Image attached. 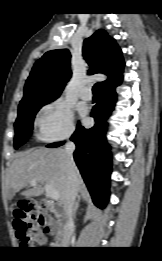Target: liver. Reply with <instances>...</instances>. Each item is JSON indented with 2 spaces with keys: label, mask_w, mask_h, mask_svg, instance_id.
I'll list each match as a JSON object with an SVG mask.
<instances>
[{
  "label": "liver",
  "mask_w": 162,
  "mask_h": 261,
  "mask_svg": "<svg viewBox=\"0 0 162 261\" xmlns=\"http://www.w3.org/2000/svg\"><path fill=\"white\" fill-rule=\"evenodd\" d=\"M66 153L64 149L34 148L20 153L12 162L6 180L7 199L27 187L30 180L36 179V186L23 192L27 197L44 193V184H49L59 192L63 203L67 191ZM77 192L82 190V178L77 169Z\"/></svg>",
  "instance_id": "obj_1"
}]
</instances>
